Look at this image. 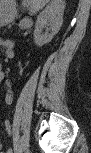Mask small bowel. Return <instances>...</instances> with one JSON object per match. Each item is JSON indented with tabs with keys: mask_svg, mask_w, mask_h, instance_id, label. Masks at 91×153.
<instances>
[{
	"mask_svg": "<svg viewBox=\"0 0 91 153\" xmlns=\"http://www.w3.org/2000/svg\"><path fill=\"white\" fill-rule=\"evenodd\" d=\"M3 78H4V75L1 74V79H3ZM6 84L9 85V83H6ZM12 99H13V94H12L11 91H8V92L5 94V102H6L7 104H10V103L12 102ZM9 135H11L10 132H9ZM9 152H10V151H9Z\"/></svg>",
	"mask_w": 91,
	"mask_h": 153,
	"instance_id": "c3829d8e",
	"label": "small bowel"
}]
</instances>
